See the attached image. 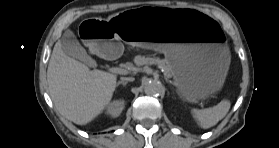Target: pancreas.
<instances>
[{
    "mask_svg": "<svg viewBox=\"0 0 279 148\" xmlns=\"http://www.w3.org/2000/svg\"><path fill=\"white\" fill-rule=\"evenodd\" d=\"M134 61L137 65L157 64L158 67L164 71L165 76L171 77V65L167 59L137 56Z\"/></svg>",
    "mask_w": 279,
    "mask_h": 148,
    "instance_id": "pancreas-1",
    "label": "pancreas"
}]
</instances>
